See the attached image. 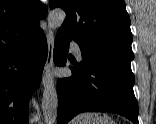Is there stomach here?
Here are the masks:
<instances>
[{
    "label": "stomach",
    "instance_id": "1",
    "mask_svg": "<svg viewBox=\"0 0 156 124\" xmlns=\"http://www.w3.org/2000/svg\"><path fill=\"white\" fill-rule=\"evenodd\" d=\"M71 124H116L105 114H87L75 118Z\"/></svg>",
    "mask_w": 156,
    "mask_h": 124
}]
</instances>
